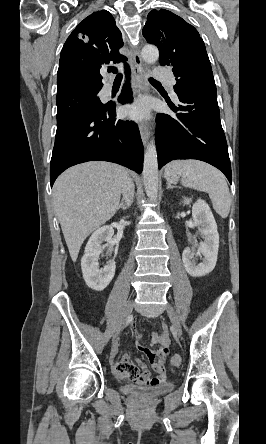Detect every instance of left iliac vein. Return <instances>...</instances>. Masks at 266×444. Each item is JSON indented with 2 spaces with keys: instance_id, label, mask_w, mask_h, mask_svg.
Listing matches in <instances>:
<instances>
[{
  "instance_id": "left-iliac-vein-1",
  "label": "left iliac vein",
  "mask_w": 266,
  "mask_h": 444,
  "mask_svg": "<svg viewBox=\"0 0 266 444\" xmlns=\"http://www.w3.org/2000/svg\"><path fill=\"white\" fill-rule=\"evenodd\" d=\"M167 313L172 323L173 332L176 336L180 337L182 334L179 318L171 305L167 306Z\"/></svg>"
}]
</instances>
